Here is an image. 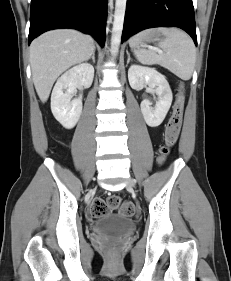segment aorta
I'll return each instance as SVG.
<instances>
[{
	"label": "aorta",
	"mask_w": 231,
	"mask_h": 281,
	"mask_svg": "<svg viewBox=\"0 0 231 281\" xmlns=\"http://www.w3.org/2000/svg\"><path fill=\"white\" fill-rule=\"evenodd\" d=\"M126 4L127 0H116L115 3V13L111 39V50L114 56L117 55L121 42Z\"/></svg>",
	"instance_id": "aorta-1"
}]
</instances>
